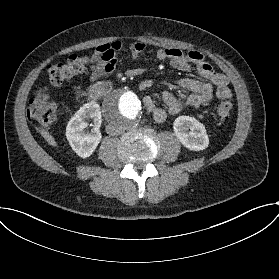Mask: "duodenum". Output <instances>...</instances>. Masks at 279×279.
Masks as SVG:
<instances>
[{
    "label": "duodenum",
    "mask_w": 279,
    "mask_h": 279,
    "mask_svg": "<svg viewBox=\"0 0 279 279\" xmlns=\"http://www.w3.org/2000/svg\"><path fill=\"white\" fill-rule=\"evenodd\" d=\"M112 90V84L110 82H99L93 85L89 90V97L93 100L98 99L104 95H107Z\"/></svg>",
    "instance_id": "1"
}]
</instances>
